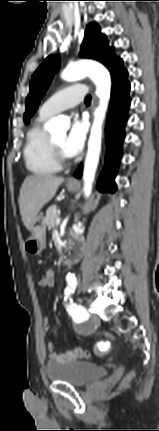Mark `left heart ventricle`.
<instances>
[{"label": "left heart ventricle", "mask_w": 159, "mask_h": 431, "mask_svg": "<svg viewBox=\"0 0 159 431\" xmlns=\"http://www.w3.org/2000/svg\"><path fill=\"white\" fill-rule=\"evenodd\" d=\"M65 138H66V135L64 134V133H62V134H59V135H57V136H54L52 139H53V141L59 146V147H61L62 149H63V151H64V148H63V144H64V141H65ZM65 152V151H64Z\"/></svg>", "instance_id": "obj_1"}]
</instances>
